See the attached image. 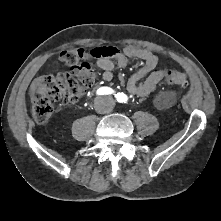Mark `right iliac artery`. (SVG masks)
<instances>
[{"label":"right iliac artery","mask_w":221,"mask_h":221,"mask_svg":"<svg viewBox=\"0 0 221 221\" xmlns=\"http://www.w3.org/2000/svg\"><path fill=\"white\" fill-rule=\"evenodd\" d=\"M113 93H114V90L111 89L110 87H101L96 92L97 95H108V94H113Z\"/></svg>","instance_id":"right-iliac-artery-1"}]
</instances>
